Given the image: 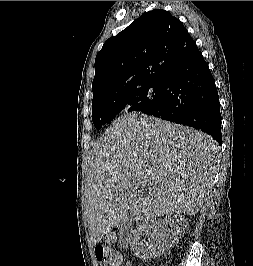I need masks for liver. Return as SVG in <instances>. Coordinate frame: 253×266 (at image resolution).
Wrapping results in <instances>:
<instances>
[{
  "label": "liver",
  "instance_id": "6515ba94",
  "mask_svg": "<svg viewBox=\"0 0 253 266\" xmlns=\"http://www.w3.org/2000/svg\"><path fill=\"white\" fill-rule=\"evenodd\" d=\"M217 153L213 138L193 128L138 113L116 119L89 153L85 213L91 243L119 224L195 215L212 184Z\"/></svg>",
  "mask_w": 253,
  "mask_h": 266
}]
</instances>
